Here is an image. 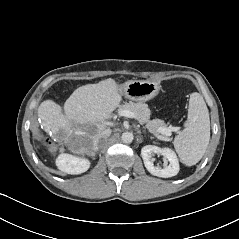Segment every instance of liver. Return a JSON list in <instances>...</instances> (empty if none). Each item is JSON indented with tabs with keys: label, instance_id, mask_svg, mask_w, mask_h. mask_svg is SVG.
Returning a JSON list of instances; mask_svg holds the SVG:
<instances>
[{
	"label": "liver",
	"instance_id": "obj_1",
	"mask_svg": "<svg viewBox=\"0 0 239 239\" xmlns=\"http://www.w3.org/2000/svg\"><path fill=\"white\" fill-rule=\"evenodd\" d=\"M120 87L112 78L77 88L64 104V112L53 100H45L38 107L43 130L54 139L72 135H87L95 149V140L106 129L105 121L122 100ZM90 131L86 133L83 129ZM86 147L78 150L85 153Z\"/></svg>",
	"mask_w": 239,
	"mask_h": 239
}]
</instances>
